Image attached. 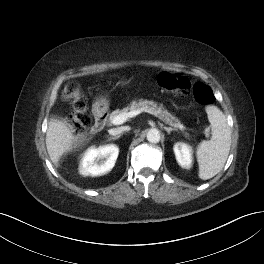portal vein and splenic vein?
Segmentation results:
<instances>
[{"label":"portal vein and splenic vein","instance_id":"obj_1","mask_svg":"<svg viewBox=\"0 0 264 264\" xmlns=\"http://www.w3.org/2000/svg\"><path fill=\"white\" fill-rule=\"evenodd\" d=\"M142 112H147V113L152 114L155 117H158L159 119L162 120V118L158 115V113L153 111L152 109L141 108V109L133 110V111H130V112L120 113L119 115H117V116L112 118L111 123L113 125L123 124L128 118L135 117V116H137L138 114H140ZM180 128H182V126H180ZM205 134L208 135V130H205Z\"/></svg>","mask_w":264,"mask_h":264}]
</instances>
